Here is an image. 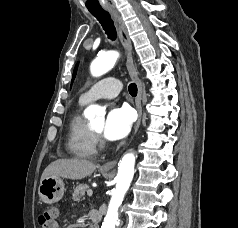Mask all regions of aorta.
<instances>
[{
    "instance_id": "obj_1",
    "label": "aorta",
    "mask_w": 238,
    "mask_h": 228,
    "mask_svg": "<svg viewBox=\"0 0 238 228\" xmlns=\"http://www.w3.org/2000/svg\"><path fill=\"white\" fill-rule=\"evenodd\" d=\"M119 52L111 50L103 52L91 63L90 72L93 77H99L107 73L115 65ZM104 110L98 105H91L85 110V115L93 119L97 115H103ZM135 155L132 152L123 155L118 165V173L115 178L116 187L113 190L107 214L101 228H116L118 225V209L129 189L134 176Z\"/></svg>"
}]
</instances>
